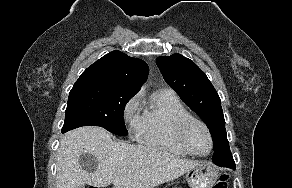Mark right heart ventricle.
I'll list each match as a JSON object with an SVG mask.
<instances>
[{
	"instance_id": "1",
	"label": "right heart ventricle",
	"mask_w": 292,
	"mask_h": 188,
	"mask_svg": "<svg viewBox=\"0 0 292 188\" xmlns=\"http://www.w3.org/2000/svg\"><path fill=\"white\" fill-rule=\"evenodd\" d=\"M191 116L177 95L171 90H159L152 94L142 109L134 128L137 140L178 156H189L179 143L176 128L178 123Z\"/></svg>"
}]
</instances>
